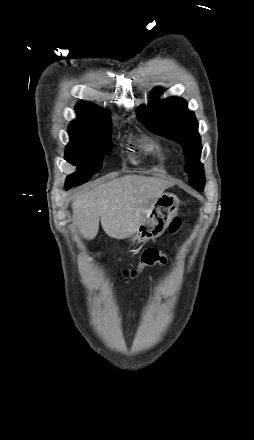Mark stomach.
<instances>
[{
    "instance_id": "obj_1",
    "label": "stomach",
    "mask_w": 254,
    "mask_h": 440,
    "mask_svg": "<svg viewBox=\"0 0 254 440\" xmlns=\"http://www.w3.org/2000/svg\"><path fill=\"white\" fill-rule=\"evenodd\" d=\"M179 204L180 201L175 194L162 193L154 201L145 221L133 235L127 237L129 241L140 244L159 237L177 215Z\"/></svg>"
}]
</instances>
